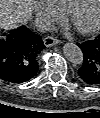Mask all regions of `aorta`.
Listing matches in <instances>:
<instances>
[{
	"instance_id": "762f6f07",
	"label": "aorta",
	"mask_w": 100,
	"mask_h": 118,
	"mask_svg": "<svg viewBox=\"0 0 100 118\" xmlns=\"http://www.w3.org/2000/svg\"><path fill=\"white\" fill-rule=\"evenodd\" d=\"M63 53L68 61L75 65L83 63V52L79 46L74 43H66L63 46Z\"/></svg>"
}]
</instances>
